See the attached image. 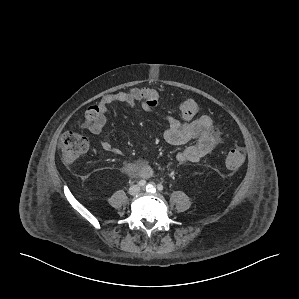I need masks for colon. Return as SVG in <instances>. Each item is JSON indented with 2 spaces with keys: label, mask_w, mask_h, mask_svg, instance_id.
I'll use <instances>...</instances> for the list:
<instances>
[{
  "label": "colon",
  "mask_w": 299,
  "mask_h": 299,
  "mask_svg": "<svg viewBox=\"0 0 299 299\" xmlns=\"http://www.w3.org/2000/svg\"><path fill=\"white\" fill-rule=\"evenodd\" d=\"M141 96L149 106L155 107L159 100V92L153 87L140 88ZM180 114L184 119L195 118L199 111V104L192 98L182 100L179 105ZM99 116V107L97 105L90 106L84 115L83 122L91 124L97 120ZM61 155L66 163H72L79 159L88 149L87 138L78 132H67L61 139ZM245 161V153L242 149L235 148L230 150L225 157V165L228 169L235 170L240 168Z\"/></svg>",
  "instance_id": "colon-1"
}]
</instances>
